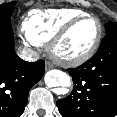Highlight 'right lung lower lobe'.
<instances>
[{
    "mask_svg": "<svg viewBox=\"0 0 117 117\" xmlns=\"http://www.w3.org/2000/svg\"><path fill=\"white\" fill-rule=\"evenodd\" d=\"M44 66L43 60L29 63L16 55L10 18H0V117L21 116Z\"/></svg>",
    "mask_w": 117,
    "mask_h": 117,
    "instance_id": "98d812e1",
    "label": "right lung lower lobe"
}]
</instances>
